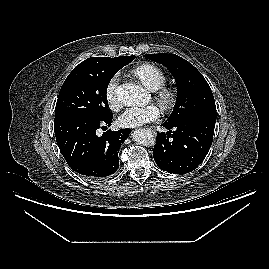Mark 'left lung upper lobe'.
Instances as JSON below:
<instances>
[{
	"label": "left lung upper lobe",
	"mask_w": 269,
	"mask_h": 269,
	"mask_svg": "<svg viewBox=\"0 0 269 269\" xmlns=\"http://www.w3.org/2000/svg\"><path fill=\"white\" fill-rule=\"evenodd\" d=\"M144 57L167 67L177 82L178 98L166 124L176 125L201 114H216L210 86L191 63L175 54H147Z\"/></svg>",
	"instance_id": "obj_1"
}]
</instances>
